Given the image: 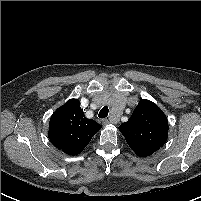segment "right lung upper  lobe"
I'll list each match as a JSON object with an SVG mask.
<instances>
[{
  "label": "right lung upper lobe",
  "instance_id": "right-lung-upper-lobe-1",
  "mask_svg": "<svg viewBox=\"0 0 201 201\" xmlns=\"http://www.w3.org/2000/svg\"><path fill=\"white\" fill-rule=\"evenodd\" d=\"M100 129V124L84 116L79 101L70 99L52 114L48 135L55 147L78 155Z\"/></svg>",
  "mask_w": 201,
  "mask_h": 201
}]
</instances>
